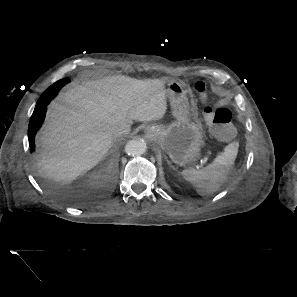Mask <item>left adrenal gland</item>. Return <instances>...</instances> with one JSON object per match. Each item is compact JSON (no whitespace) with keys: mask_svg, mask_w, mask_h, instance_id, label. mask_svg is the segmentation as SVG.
Returning a JSON list of instances; mask_svg holds the SVG:
<instances>
[{"mask_svg":"<svg viewBox=\"0 0 297 297\" xmlns=\"http://www.w3.org/2000/svg\"><path fill=\"white\" fill-rule=\"evenodd\" d=\"M168 164L170 165L171 168L175 169L174 166L171 164L170 161H168Z\"/></svg>","mask_w":297,"mask_h":297,"instance_id":"a2214340","label":"left adrenal gland"}]
</instances>
